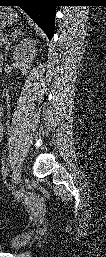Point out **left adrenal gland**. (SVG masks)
<instances>
[{"label": "left adrenal gland", "mask_w": 106, "mask_h": 257, "mask_svg": "<svg viewBox=\"0 0 106 257\" xmlns=\"http://www.w3.org/2000/svg\"><path fill=\"white\" fill-rule=\"evenodd\" d=\"M19 35H23L22 31L18 28H15L14 31L12 32L11 34V39H10V42L7 43V46H6V49H5V59L7 58V53L9 51V47L10 45L15 41V39H17V37Z\"/></svg>", "instance_id": "a2214340"}]
</instances>
